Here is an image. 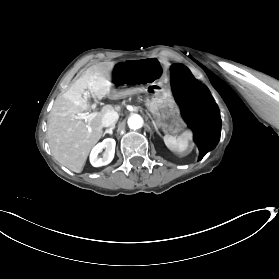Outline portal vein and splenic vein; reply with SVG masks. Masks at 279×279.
<instances>
[{"instance_id": "18ae733b", "label": "portal vein and splenic vein", "mask_w": 279, "mask_h": 279, "mask_svg": "<svg viewBox=\"0 0 279 279\" xmlns=\"http://www.w3.org/2000/svg\"><path fill=\"white\" fill-rule=\"evenodd\" d=\"M85 97H90V95L85 93ZM91 108H92V110H97V108H98L97 102H92ZM93 116H94V114L87 115L84 113V114L80 115L78 118L84 119V120H90Z\"/></svg>"}]
</instances>
